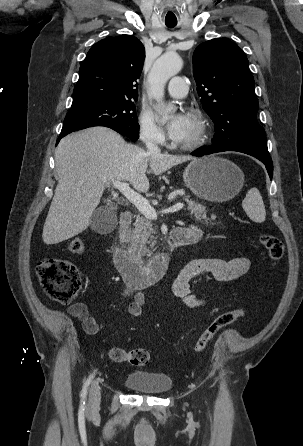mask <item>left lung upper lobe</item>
<instances>
[{"mask_svg": "<svg viewBox=\"0 0 303 446\" xmlns=\"http://www.w3.org/2000/svg\"><path fill=\"white\" fill-rule=\"evenodd\" d=\"M193 74L203 108L214 122V148L240 147L269 154L254 78L243 51L228 39L200 44L193 55Z\"/></svg>", "mask_w": 303, "mask_h": 446, "instance_id": "1", "label": "left lung upper lobe"}]
</instances>
